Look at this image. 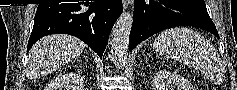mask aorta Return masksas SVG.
Masks as SVG:
<instances>
[{
  "label": "aorta",
  "instance_id": "aorta-1",
  "mask_svg": "<svg viewBox=\"0 0 237 90\" xmlns=\"http://www.w3.org/2000/svg\"><path fill=\"white\" fill-rule=\"evenodd\" d=\"M134 12L123 10L112 32L111 54L115 66L123 68L126 64L129 50V36L132 30Z\"/></svg>",
  "mask_w": 237,
  "mask_h": 90
}]
</instances>
